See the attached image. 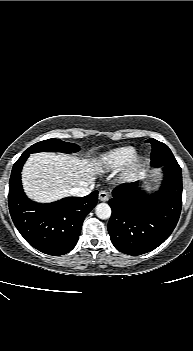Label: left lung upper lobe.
<instances>
[{"mask_svg": "<svg viewBox=\"0 0 193 351\" xmlns=\"http://www.w3.org/2000/svg\"><path fill=\"white\" fill-rule=\"evenodd\" d=\"M146 142L151 143L152 145L151 165L153 167H160L177 163L175 157L167 145L153 138L148 139Z\"/></svg>", "mask_w": 193, "mask_h": 351, "instance_id": "1", "label": "left lung upper lobe"}]
</instances>
